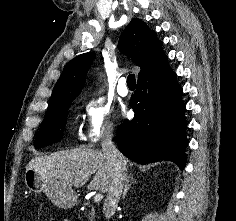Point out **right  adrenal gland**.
Segmentation results:
<instances>
[{"instance_id": "right-adrenal-gland-1", "label": "right adrenal gland", "mask_w": 236, "mask_h": 221, "mask_svg": "<svg viewBox=\"0 0 236 221\" xmlns=\"http://www.w3.org/2000/svg\"><path fill=\"white\" fill-rule=\"evenodd\" d=\"M132 181H133V178H132V176H131V174H130V175L126 178V180H125L124 191H123V194H122V198H123V199L125 198V196H126L128 190H129L131 184L134 183V182H132ZM130 182H131V183H130Z\"/></svg>"}]
</instances>
